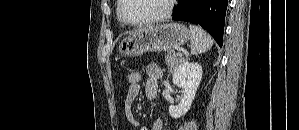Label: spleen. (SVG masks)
<instances>
[{
    "instance_id": "1",
    "label": "spleen",
    "mask_w": 299,
    "mask_h": 130,
    "mask_svg": "<svg viewBox=\"0 0 299 130\" xmlns=\"http://www.w3.org/2000/svg\"><path fill=\"white\" fill-rule=\"evenodd\" d=\"M191 38V54L198 55L208 51L212 45V38L200 27L196 25H189Z\"/></svg>"
}]
</instances>
